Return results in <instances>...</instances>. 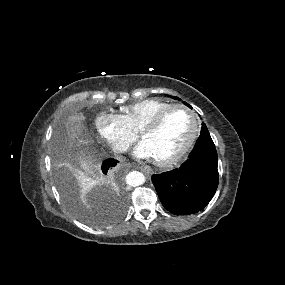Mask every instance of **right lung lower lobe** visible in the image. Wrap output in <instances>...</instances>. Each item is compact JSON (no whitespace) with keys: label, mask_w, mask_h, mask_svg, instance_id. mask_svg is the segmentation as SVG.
I'll return each mask as SVG.
<instances>
[{"label":"right lung lower lobe","mask_w":285,"mask_h":285,"mask_svg":"<svg viewBox=\"0 0 285 285\" xmlns=\"http://www.w3.org/2000/svg\"><path fill=\"white\" fill-rule=\"evenodd\" d=\"M117 160L115 159H107L103 162V165H102V170H103V173L104 174H107L108 170L111 169L112 167H114L116 164H117ZM121 202H122V205L124 206L125 203H126V199H125V196H122L121 198Z\"/></svg>","instance_id":"1"}]
</instances>
